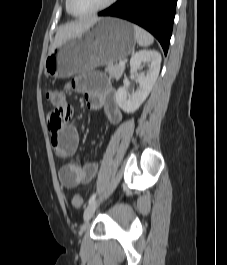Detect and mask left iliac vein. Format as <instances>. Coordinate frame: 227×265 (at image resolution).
<instances>
[{
  "mask_svg": "<svg viewBox=\"0 0 227 265\" xmlns=\"http://www.w3.org/2000/svg\"><path fill=\"white\" fill-rule=\"evenodd\" d=\"M97 206H98V201H94L87 206V208L84 211V222H88L90 220V218L93 216Z\"/></svg>",
  "mask_w": 227,
  "mask_h": 265,
  "instance_id": "left-iliac-vein-1",
  "label": "left iliac vein"
}]
</instances>
